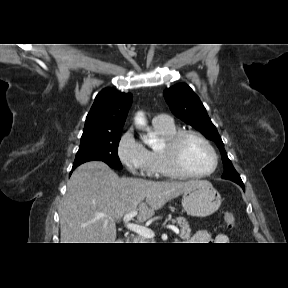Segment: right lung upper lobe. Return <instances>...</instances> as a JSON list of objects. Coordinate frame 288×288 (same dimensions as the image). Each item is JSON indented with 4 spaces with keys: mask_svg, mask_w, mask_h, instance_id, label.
I'll list each match as a JSON object with an SVG mask.
<instances>
[{
    "mask_svg": "<svg viewBox=\"0 0 288 288\" xmlns=\"http://www.w3.org/2000/svg\"><path fill=\"white\" fill-rule=\"evenodd\" d=\"M131 102V93H121L113 88L99 92L86 117L81 140L122 132Z\"/></svg>",
    "mask_w": 288,
    "mask_h": 288,
    "instance_id": "cb5924a9",
    "label": "right lung upper lobe"
}]
</instances>
